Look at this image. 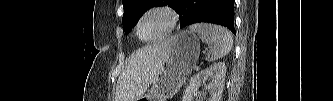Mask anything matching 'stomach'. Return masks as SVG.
Returning <instances> with one entry per match:
<instances>
[{"label":"stomach","instance_id":"1","mask_svg":"<svg viewBox=\"0 0 333 101\" xmlns=\"http://www.w3.org/2000/svg\"><path fill=\"white\" fill-rule=\"evenodd\" d=\"M168 53L148 93L135 101H166L181 88L199 59L200 40L191 31H182L165 40Z\"/></svg>","mask_w":333,"mask_h":101}]
</instances>
